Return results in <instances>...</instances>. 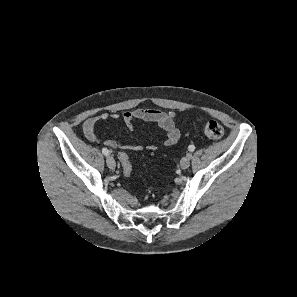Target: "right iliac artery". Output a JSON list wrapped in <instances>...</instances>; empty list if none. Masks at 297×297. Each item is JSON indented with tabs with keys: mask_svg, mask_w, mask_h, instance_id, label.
Listing matches in <instances>:
<instances>
[{
	"mask_svg": "<svg viewBox=\"0 0 297 297\" xmlns=\"http://www.w3.org/2000/svg\"><path fill=\"white\" fill-rule=\"evenodd\" d=\"M102 153H103L104 155L108 156V155H109V150H108L107 148H103V149H102Z\"/></svg>",
	"mask_w": 297,
	"mask_h": 297,
	"instance_id": "right-iliac-artery-1",
	"label": "right iliac artery"
}]
</instances>
